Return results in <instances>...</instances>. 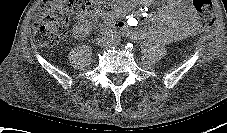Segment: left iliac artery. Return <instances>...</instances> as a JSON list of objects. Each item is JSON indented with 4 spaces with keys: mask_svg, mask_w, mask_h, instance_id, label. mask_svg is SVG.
I'll return each mask as SVG.
<instances>
[{
    "mask_svg": "<svg viewBox=\"0 0 227 133\" xmlns=\"http://www.w3.org/2000/svg\"><path fill=\"white\" fill-rule=\"evenodd\" d=\"M114 42H115V44H119L120 43V36L119 35H115Z\"/></svg>",
    "mask_w": 227,
    "mask_h": 133,
    "instance_id": "44dca946",
    "label": "left iliac artery"
}]
</instances>
